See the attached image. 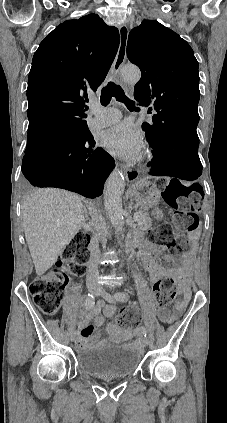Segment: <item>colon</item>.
Wrapping results in <instances>:
<instances>
[{
	"mask_svg": "<svg viewBox=\"0 0 227 423\" xmlns=\"http://www.w3.org/2000/svg\"><path fill=\"white\" fill-rule=\"evenodd\" d=\"M164 201L174 209L172 224L164 222L148 235L157 245L176 253L187 248L188 240L184 232L198 227L197 212L200 209L201 189L196 183L182 184L171 181L160 184ZM89 235L77 233L64 248L55 266L45 274L35 278L29 287L36 306L46 315H54L64 300L68 281L67 270L73 275H83L88 260ZM154 297L160 310H167L177 294L176 281L172 276L158 280L154 286ZM138 312L134 307L124 309L117 324L125 330L138 326Z\"/></svg>",
	"mask_w": 227,
	"mask_h": 423,
	"instance_id": "5ec220e1",
	"label": "colon"
}]
</instances>
